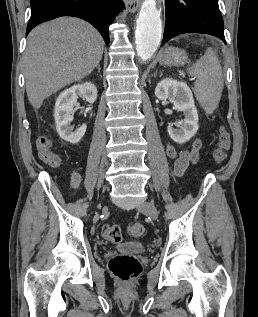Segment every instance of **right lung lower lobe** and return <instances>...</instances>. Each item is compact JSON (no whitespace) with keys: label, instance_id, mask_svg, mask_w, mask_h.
Wrapping results in <instances>:
<instances>
[{"label":"right lung lower lobe","instance_id":"1","mask_svg":"<svg viewBox=\"0 0 258 317\" xmlns=\"http://www.w3.org/2000/svg\"><path fill=\"white\" fill-rule=\"evenodd\" d=\"M123 7L122 0H31L26 35L40 23L60 16H74L92 24L108 45V27Z\"/></svg>","mask_w":258,"mask_h":317}]
</instances>
